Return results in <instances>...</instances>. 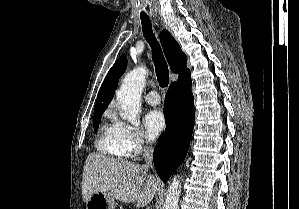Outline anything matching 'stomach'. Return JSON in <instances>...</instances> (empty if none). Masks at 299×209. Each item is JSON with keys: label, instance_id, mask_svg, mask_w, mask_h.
Segmentation results:
<instances>
[{"label": "stomach", "instance_id": "0dacf381", "mask_svg": "<svg viewBox=\"0 0 299 209\" xmlns=\"http://www.w3.org/2000/svg\"><path fill=\"white\" fill-rule=\"evenodd\" d=\"M86 209H115V200L106 193H94L86 202Z\"/></svg>", "mask_w": 299, "mask_h": 209}]
</instances>
